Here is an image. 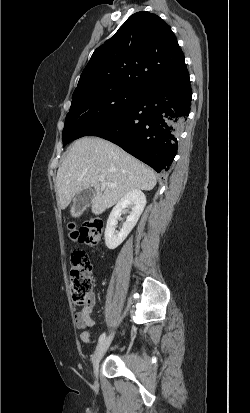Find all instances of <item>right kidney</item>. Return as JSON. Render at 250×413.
Listing matches in <instances>:
<instances>
[{
    "mask_svg": "<svg viewBox=\"0 0 250 413\" xmlns=\"http://www.w3.org/2000/svg\"><path fill=\"white\" fill-rule=\"evenodd\" d=\"M145 206L146 196L138 189L129 191L117 202L109 215L105 229V243L109 249L117 248L127 238L131 230L137 224ZM127 207L131 208V212L127 216L121 230L117 232L115 227L118 223V219L120 218L122 211Z\"/></svg>",
    "mask_w": 250,
    "mask_h": 413,
    "instance_id": "ca27d5eb",
    "label": "right kidney"
}]
</instances>
